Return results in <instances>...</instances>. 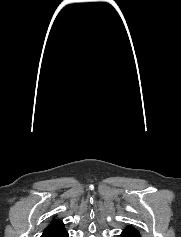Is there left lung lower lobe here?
Masks as SVG:
<instances>
[{"mask_svg":"<svg viewBox=\"0 0 181 237\" xmlns=\"http://www.w3.org/2000/svg\"><path fill=\"white\" fill-rule=\"evenodd\" d=\"M121 237H141L139 232L133 227L126 228L120 235Z\"/></svg>","mask_w":181,"mask_h":237,"instance_id":"left-lung-lower-lobe-1","label":"left lung lower lobe"}]
</instances>
